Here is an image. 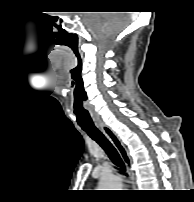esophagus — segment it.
Masks as SVG:
<instances>
[{
  "mask_svg": "<svg viewBox=\"0 0 194 202\" xmlns=\"http://www.w3.org/2000/svg\"><path fill=\"white\" fill-rule=\"evenodd\" d=\"M97 127L104 133V135L111 141L114 147L117 149L119 155L121 156L123 162L126 165L127 171L130 176V183L132 185L135 184V175L131 168L132 166V159L129 155V152L119 137L114 133V131L106 126L105 124H97Z\"/></svg>",
  "mask_w": 194,
  "mask_h": 202,
  "instance_id": "34e87169",
  "label": "esophagus"
}]
</instances>
